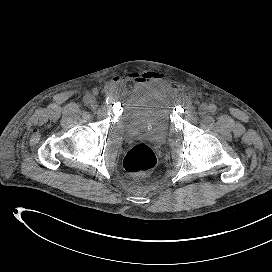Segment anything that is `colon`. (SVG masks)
I'll use <instances>...</instances> for the list:
<instances>
[{
    "label": "colon",
    "mask_w": 272,
    "mask_h": 272,
    "mask_svg": "<svg viewBox=\"0 0 272 272\" xmlns=\"http://www.w3.org/2000/svg\"><path fill=\"white\" fill-rule=\"evenodd\" d=\"M123 165L129 173L147 174L156 167L157 158L149 146L140 144L127 152Z\"/></svg>",
    "instance_id": "1"
}]
</instances>
